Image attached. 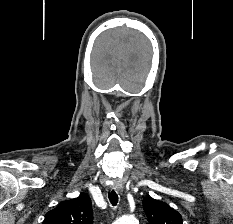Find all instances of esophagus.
I'll use <instances>...</instances> for the list:
<instances>
[{"label": "esophagus", "instance_id": "esophagus-1", "mask_svg": "<svg viewBox=\"0 0 233 224\" xmlns=\"http://www.w3.org/2000/svg\"><path fill=\"white\" fill-rule=\"evenodd\" d=\"M112 189L115 190L117 193L122 194L123 192V186L120 182H116L113 186Z\"/></svg>", "mask_w": 233, "mask_h": 224}]
</instances>
